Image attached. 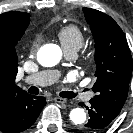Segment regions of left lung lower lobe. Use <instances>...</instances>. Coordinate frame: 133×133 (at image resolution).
I'll return each mask as SVG.
<instances>
[{
  "mask_svg": "<svg viewBox=\"0 0 133 133\" xmlns=\"http://www.w3.org/2000/svg\"><path fill=\"white\" fill-rule=\"evenodd\" d=\"M90 104V107H86L90 119L81 128L80 133H98L106 129L121 111V108L96 98H92Z\"/></svg>",
  "mask_w": 133,
  "mask_h": 133,
  "instance_id": "0a47b994",
  "label": "left lung lower lobe"
}]
</instances>
